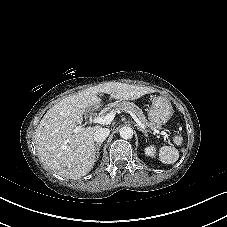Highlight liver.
<instances>
[{
	"label": "liver",
	"instance_id": "obj_1",
	"mask_svg": "<svg viewBox=\"0 0 227 227\" xmlns=\"http://www.w3.org/2000/svg\"><path fill=\"white\" fill-rule=\"evenodd\" d=\"M154 90L125 83H105L70 95L50 108L35 131L36 150L42 163L67 179H79L95 164L94 132L100 126L73 130L82 123L85 110L99 103L98 94H111L118 100H135Z\"/></svg>",
	"mask_w": 227,
	"mask_h": 227
}]
</instances>
